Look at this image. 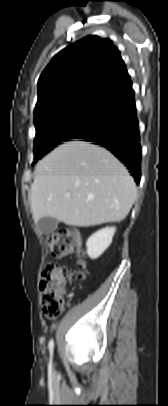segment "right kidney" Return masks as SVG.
<instances>
[{"instance_id": "right-kidney-1", "label": "right kidney", "mask_w": 168, "mask_h": 406, "mask_svg": "<svg viewBox=\"0 0 168 406\" xmlns=\"http://www.w3.org/2000/svg\"><path fill=\"white\" fill-rule=\"evenodd\" d=\"M115 231V227H106L89 237L86 246L87 254L91 259L98 258L109 247Z\"/></svg>"}]
</instances>
